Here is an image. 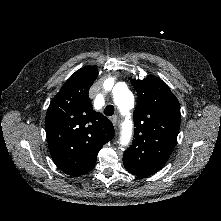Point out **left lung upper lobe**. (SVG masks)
I'll return each mask as SVG.
<instances>
[{
	"mask_svg": "<svg viewBox=\"0 0 221 221\" xmlns=\"http://www.w3.org/2000/svg\"><path fill=\"white\" fill-rule=\"evenodd\" d=\"M138 93L134 111V139L123 164L137 176H149L167 162L180 127V106L168 86L155 76L131 80Z\"/></svg>",
	"mask_w": 221,
	"mask_h": 221,
	"instance_id": "5c2ea615",
	"label": "left lung upper lobe"
}]
</instances>
